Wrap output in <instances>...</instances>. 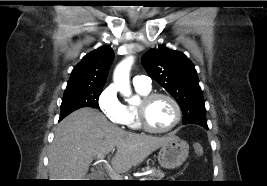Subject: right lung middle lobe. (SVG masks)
Masks as SVG:
<instances>
[{
	"label": "right lung middle lobe",
	"mask_w": 267,
	"mask_h": 186,
	"mask_svg": "<svg viewBox=\"0 0 267 186\" xmlns=\"http://www.w3.org/2000/svg\"><path fill=\"white\" fill-rule=\"evenodd\" d=\"M102 90V88L66 89L62 99L60 117L64 118L83 107L99 108L98 99Z\"/></svg>",
	"instance_id": "1"
}]
</instances>
